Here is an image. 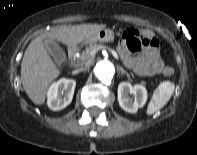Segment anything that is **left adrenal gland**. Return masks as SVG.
Here are the masks:
<instances>
[{
	"instance_id": "1",
	"label": "left adrenal gland",
	"mask_w": 197,
	"mask_h": 155,
	"mask_svg": "<svg viewBox=\"0 0 197 155\" xmlns=\"http://www.w3.org/2000/svg\"><path fill=\"white\" fill-rule=\"evenodd\" d=\"M119 70L121 71V74H125V75L127 76V78H128L129 80H131V79H130V75L128 74L127 71H125L122 67H119Z\"/></svg>"
}]
</instances>
